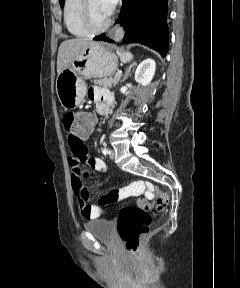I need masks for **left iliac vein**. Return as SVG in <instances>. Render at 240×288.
<instances>
[{
    "instance_id": "1",
    "label": "left iliac vein",
    "mask_w": 240,
    "mask_h": 288,
    "mask_svg": "<svg viewBox=\"0 0 240 288\" xmlns=\"http://www.w3.org/2000/svg\"><path fill=\"white\" fill-rule=\"evenodd\" d=\"M110 159H112V160H114V158H115V152H114V150H111L110 151Z\"/></svg>"
}]
</instances>
